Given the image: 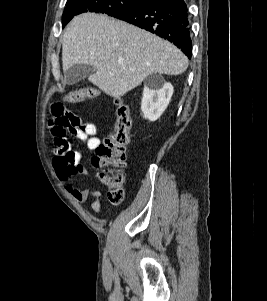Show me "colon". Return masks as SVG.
<instances>
[{"mask_svg":"<svg viewBox=\"0 0 267 301\" xmlns=\"http://www.w3.org/2000/svg\"><path fill=\"white\" fill-rule=\"evenodd\" d=\"M99 91L87 86L70 91L65 100L70 103H79L94 99ZM117 121L111 134L96 148L91 159L92 166L99 170L101 182L107 188V197L112 204H120L124 198L126 165V147L132 126L129 106L123 100L116 101Z\"/></svg>","mask_w":267,"mask_h":301,"instance_id":"obj_1","label":"colon"}]
</instances>
